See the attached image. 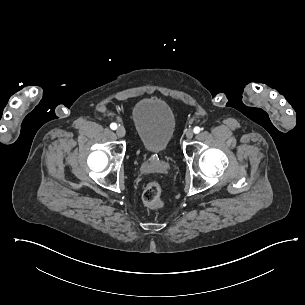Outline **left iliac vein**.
<instances>
[{
  "instance_id": "left-iliac-vein-1",
  "label": "left iliac vein",
  "mask_w": 305,
  "mask_h": 305,
  "mask_svg": "<svg viewBox=\"0 0 305 305\" xmlns=\"http://www.w3.org/2000/svg\"><path fill=\"white\" fill-rule=\"evenodd\" d=\"M185 136L187 139H191L193 137V130L192 129H187L185 131Z\"/></svg>"
}]
</instances>
